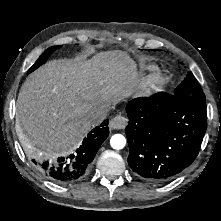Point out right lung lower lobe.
I'll use <instances>...</instances> for the list:
<instances>
[{"label": "right lung lower lobe", "instance_id": "right-lung-lower-lobe-1", "mask_svg": "<svg viewBox=\"0 0 221 221\" xmlns=\"http://www.w3.org/2000/svg\"><path fill=\"white\" fill-rule=\"evenodd\" d=\"M108 120L94 128L82 145L69 156L44 159L34 156L31 161L37 170L49 180L64 184L77 181L90 170L99 147L109 135Z\"/></svg>", "mask_w": 221, "mask_h": 221}]
</instances>
